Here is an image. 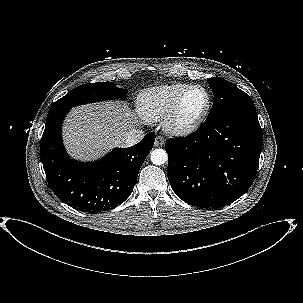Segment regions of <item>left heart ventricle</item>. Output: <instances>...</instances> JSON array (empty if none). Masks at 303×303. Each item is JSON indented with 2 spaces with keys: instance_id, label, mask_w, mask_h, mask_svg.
I'll return each instance as SVG.
<instances>
[{
  "instance_id": "b2bd125f",
  "label": "left heart ventricle",
  "mask_w": 303,
  "mask_h": 303,
  "mask_svg": "<svg viewBox=\"0 0 303 303\" xmlns=\"http://www.w3.org/2000/svg\"><path fill=\"white\" fill-rule=\"evenodd\" d=\"M206 104L205 93L201 89L192 90L186 97L180 112V120L188 122L199 115Z\"/></svg>"
}]
</instances>
